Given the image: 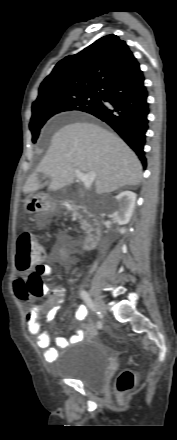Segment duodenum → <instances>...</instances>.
<instances>
[{
    "mask_svg": "<svg viewBox=\"0 0 177 440\" xmlns=\"http://www.w3.org/2000/svg\"><path fill=\"white\" fill-rule=\"evenodd\" d=\"M64 207L67 211L71 212L77 218L83 221L88 234L84 247L85 249H89L100 236L101 226L99 220L89 211L87 207L74 201H66Z\"/></svg>",
    "mask_w": 177,
    "mask_h": 440,
    "instance_id": "obj_1",
    "label": "duodenum"
}]
</instances>
